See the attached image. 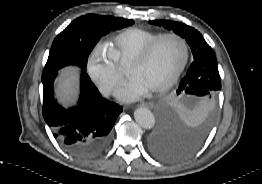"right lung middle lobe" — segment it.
Wrapping results in <instances>:
<instances>
[{"label": "right lung middle lobe", "instance_id": "1", "mask_svg": "<svg viewBox=\"0 0 262 184\" xmlns=\"http://www.w3.org/2000/svg\"><path fill=\"white\" fill-rule=\"evenodd\" d=\"M133 23V20L103 15H85L75 19L53 41L42 75L67 65L84 69L89 53L102 36Z\"/></svg>", "mask_w": 262, "mask_h": 184}]
</instances>
